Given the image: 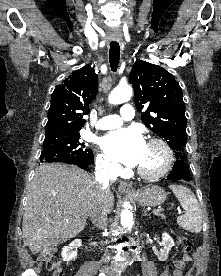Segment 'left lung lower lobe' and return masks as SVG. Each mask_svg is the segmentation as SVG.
Wrapping results in <instances>:
<instances>
[{"mask_svg":"<svg viewBox=\"0 0 221 276\" xmlns=\"http://www.w3.org/2000/svg\"><path fill=\"white\" fill-rule=\"evenodd\" d=\"M189 167L184 160L178 159L174 166L173 170L167 176V180H185L191 181Z\"/></svg>","mask_w":221,"mask_h":276,"instance_id":"1","label":"left lung lower lobe"}]
</instances>
